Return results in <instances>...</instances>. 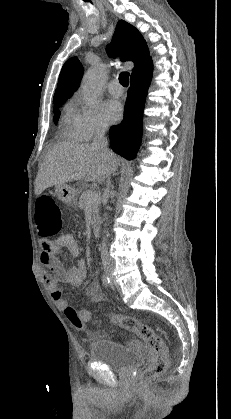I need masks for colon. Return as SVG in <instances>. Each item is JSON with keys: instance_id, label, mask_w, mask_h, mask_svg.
<instances>
[{"instance_id": "obj_1", "label": "colon", "mask_w": 231, "mask_h": 419, "mask_svg": "<svg viewBox=\"0 0 231 419\" xmlns=\"http://www.w3.org/2000/svg\"><path fill=\"white\" fill-rule=\"evenodd\" d=\"M62 222V212L55 198L49 194L41 195L36 205V227L40 236L44 238L55 236L60 231ZM65 315L75 328L79 330L85 329L83 317L78 313L77 309L68 306L65 309ZM110 320L122 329L135 333L148 345L152 355L151 362L138 380L139 387H148L168 367L169 357L163 340L149 325L138 321L132 316L111 314Z\"/></svg>"}]
</instances>
